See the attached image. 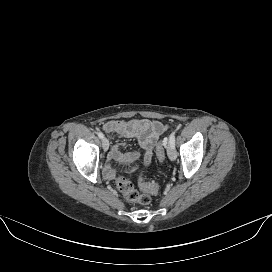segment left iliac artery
<instances>
[{"mask_svg": "<svg viewBox=\"0 0 272 272\" xmlns=\"http://www.w3.org/2000/svg\"><path fill=\"white\" fill-rule=\"evenodd\" d=\"M169 143H170L173 147H175V133H174V132H172L171 135H170V137H169Z\"/></svg>", "mask_w": 272, "mask_h": 272, "instance_id": "obj_1", "label": "left iliac artery"}]
</instances>
